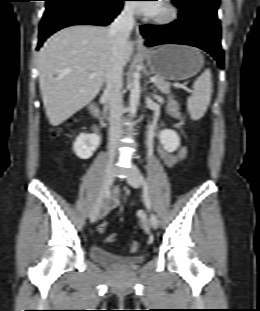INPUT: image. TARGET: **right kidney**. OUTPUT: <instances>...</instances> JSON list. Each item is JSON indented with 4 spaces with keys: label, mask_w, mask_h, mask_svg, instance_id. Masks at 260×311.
Wrapping results in <instances>:
<instances>
[{
    "label": "right kidney",
    "mask_w": 260,
    "mask_h": 311,
    "mask_svg": "<svg viewBox=\"0 0 260 311\" xmlns=\"http://www.w3.org/2000/svg\"><path fill=\"white\" fill-rule=\"evenodd\" d=\"M100 143L97 134L81 133L73 144V150L80 159H89Z\"/></svg>",
    "instance_id": "right-kidney-1"
}]
</instances>
